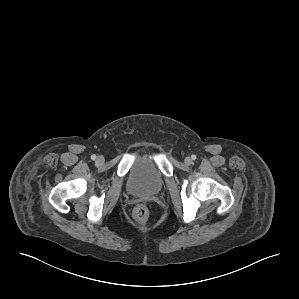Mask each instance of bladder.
Returning <instances> with one entry per match:
<instances>
[{
	"label": "bladder",
	"mask_w": 299,
	"mask_h": 299,
	"mask_svg": "<svg viewBox=\"0 0 299 299\" xmlns=\"http://www.w3.org/2000/svg\"><path fill=\"white\" fill-rule=\"evenodd\" d=\"M164 186V177L154 158L143 155L131 166L127 176V191L134 196L158 194Z\"/></svg>",
	"instance_id": "1"
}]
</instances>
